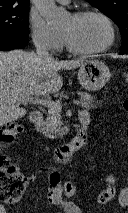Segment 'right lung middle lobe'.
<instances>
[{"instance_id":"dd1d6c3e","label":"right lung middle lobe","mask_w":128,"mask_h":213,"mask_svg":"<svg viewBox=\"0 0 128 213\" xmlns=\"http://www.w3.org/2000/svg\"><path fill=\"white\" fill-rule=\"evenodd\" d=\"M29 5L0 6V39L29 40Z\"/></svg>"}]
</instances>
